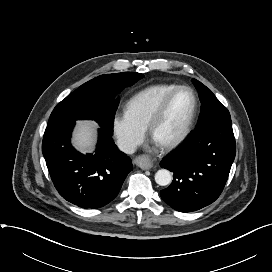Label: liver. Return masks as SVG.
I'll return each instance as SVG.
<instances>
[{
	"mask_svg": "<svg viewBox=\"0 0 272 272\" xmlns=\"http://www.w3.org/2000/svg\"><path fill=\"white\" fill-rule=\"evenodd\" d=\"M95 123L80 121L74 133L73 143L82 152L90 151L95 142Z\"/></svg>",
	"mask_w": 272,
	"mask_h": 272,
	"instance_id": "6515ba94",
	"label": "liver"
}]
</instances>
